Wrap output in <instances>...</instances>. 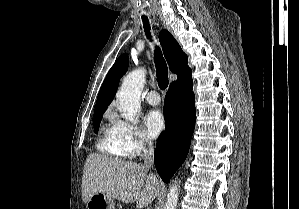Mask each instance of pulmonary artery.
Listing matches in <instances>:
<instances>
[{
    "mask_svg": "<svg viewBox=\"0 0 299 209\" xmlns=\"http://www.w3.org/2000/svg\"><path fill=\"white\" fill-rule=\"evenodd\" d=\"M146 101L151 105H158L161 102V98L156 90H151L146 95Z\"/></svg>",
    "mask_w": 299,
    "mask_h": 209,
    "instance_id": "1",
    "label": "pulmonary artery"
}]
</instances>
